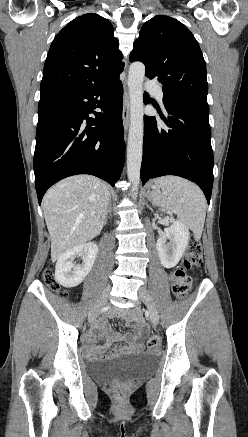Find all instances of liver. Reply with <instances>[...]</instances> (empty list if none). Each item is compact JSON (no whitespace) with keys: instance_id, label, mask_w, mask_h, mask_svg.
<instances>
[{"instance_id":"6515ba94","label":"liver","mask_w":248,"mask_h":437,"mask_svg":"<svg viewBox=\"0 0 248 437\" xmlns=\"http://www.w3.org/2000/svg\"><path fill=\"white\" fill-rule=\"evenodd\" d=\"M109 201L106 183L90 175L66 178L47 191L43 209L51 237L52 262L100 234Z\"/></svg>"}]
</instances>
